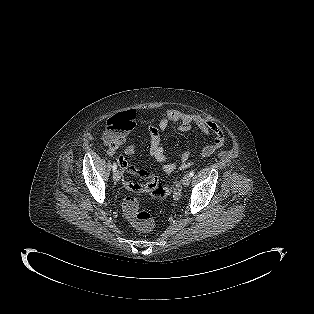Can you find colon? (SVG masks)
I'll return each instance as SVG.
<instances>
[{
	"label": "colon",
	"instance_id": "obj_1",
	"mask_svg": "<svg viewBox=\"0 0 314 314\" xmlns=\"http://www.w3.org/2000/svg\"><path fill=\"white\" fill-rule=\"evenodd\" d=\"M135 120L136 113L133 110H127L111 117L107 121L103 136L105 142L113 144L121 140L127 132L135 127ZM149 178L150 181L145 186L129 184V188L138 194L149 193L158 198H164L170 193L169 188L160 183L155 177L150 176ZM122 208L125 217L135 229L142 232H149L154 227L155 221L153 215L139 209L137 197H126L123 201Z\"/></svg>",
	"mask_w": 314,
	"mask_h": 314
}]
</instances>
